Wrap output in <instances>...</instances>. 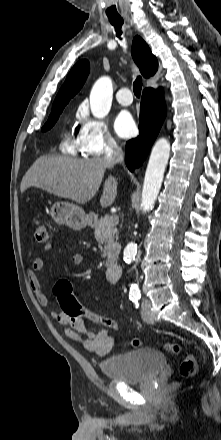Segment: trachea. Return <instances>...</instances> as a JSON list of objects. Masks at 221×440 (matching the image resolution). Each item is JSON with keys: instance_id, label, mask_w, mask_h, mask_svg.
<instances>
[{"instance_id": "3493384b", "label": "trachea", "mask_w": 221, "mask_h": 440, "mask_svg": "<svg viewBox=\"0 0 221 440\" xmlns=\"http://www.w3.org/2000/svg\"><path fill=\"white\" fill-rule=\"evenodd\" d=\"M110 23L116 28V35L120 37L122 34L121 26L123 25V19L117 17H109ZM142 89V78L138 76L133 83V91L136 97H140Z\"/></svg>"}]
</instances>
